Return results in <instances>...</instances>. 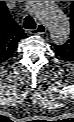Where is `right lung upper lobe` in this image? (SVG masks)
<instances>
[{
	"label": "right lung upper lobe",
	"mask_w": 74,
	"mask_h": 122,
	"mask_svg": "<svg viewBox=\"0 0 74 122\" xmlns=\"http://www.w3.org/2000/svg\"><path fill=\"white\" fill-rule=\"evenodd\" d=\"M25 37L26 34L12 19L5 3L0 1V63L12 56L18 41Z\"/></svg>",
	"instance_id": "cb5924a9"
}]
</instances>
